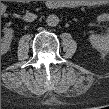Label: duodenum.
<instances>
[{
	"label": "duodenum",
	"mask_w": 109,
	"mask_h": 109,
	"mask_svg": "<svg viewBox=\"0 0 109 109\" xmlns=\"http://www.w3.org/2000/svg\"><path fill=\"white\" fill-rule=\"evenodd\" d=\"M77 5L74 3H59V2H52L48 5L49 8H57V7H76Z\"/></svg>",
	"instance_id": "410a0bca"
}]
</instances>
